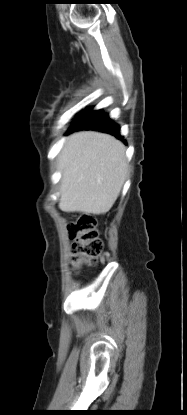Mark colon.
I'll return each mask as SVG.
<instances>
[{
  "label": "colon",
  "instance_id": "colon-1",
  "mask_svg": "<svg viewBox=\"0 0 187 415\" xmlns=\"http://www.w3.org/2000/svg\"><path fill=\"white\" fill-rule=\"evenodd\" d=\"M69 233L72 239L73 267L94 264L103 251V241L99 237L95 217L80 215L70 224Z\"/></svg>",
  "mask_w": 187,
  "mask_h": 415
}]
</instances>
